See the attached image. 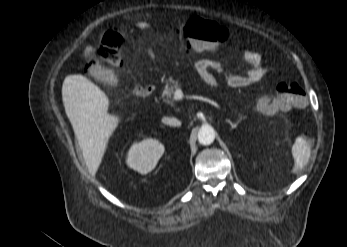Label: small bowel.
Masks as SVG:
<instances>
[{
    "mask_svg": "<svg viewBox=\"0 0 347 247\" xmlns=\"http://www.w3.org/2000/svg\"><path fill=\"white\" fill-rule=\"evenodd\" d=\"M243 61L246 71L236 73L224 67L219 61L203 58L195 63V69L202 81L211 88H216L218 83L215 73L222 74L227 84L234 88H244L262 80L265 68L261 55L254 50H246L243 53Z\"/></svg>",
    "mask_w": 347,
    "mask_h": 247,
    "instance_id": "c3829d8e",
    "label": "small bowel"
}]
</instances>
